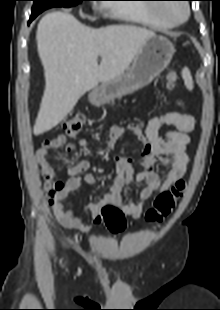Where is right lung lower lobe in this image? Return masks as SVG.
<instances>
[{
    "instance_id": "98d812e1",
    "label": "right lung lower lobe",
    "mask_w": 220,
    "mask_h": 310,
    "mask_svg": "<svg viewBox=\"0 0 220 310\" xmlns=\"http://www.w3.org/2000/svg\"><path fill=\"white\" fill-rule=\"evenodd\" d=\"M37 15H31L29 23L36 17Z\"/></svg>"
}]
</instances>
